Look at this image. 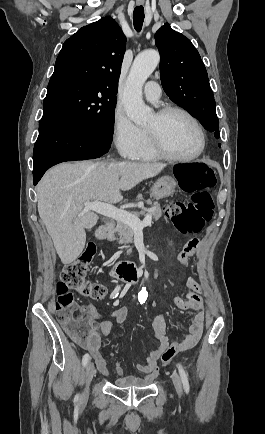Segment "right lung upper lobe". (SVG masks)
Here are the masks:
<instances>
[{"mask_svg": "<svg viewBox=\"0 0 265 434\" xmlns=\"http://www.w3.org/2000/svg\"><path fill=\"white\" fill-rule=\"evenodd\" d=\"M126 37L110 16L82 27L67 39L51 79L62 76L96 78L117 87Z\"/></svg>", "mask_w": 265, "mask_h": 434, "instance_id": "1", "label": "right lung upper lobe"}]
</instances>
